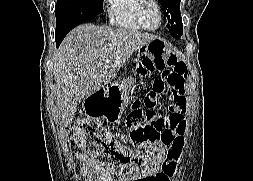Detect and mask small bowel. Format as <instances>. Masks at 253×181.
I'll use <instances>...</instances> for the list:
<instances>
[{
    "label": "small bowel",
    "mask_w": 253,
    "mask_h": 181,
    "mask_svg": "<svg viewBox=\"0 0 253 181\" xmlns=\"http://www.w3.org/2000/svg\"><path fill=\"white\" fill-rule=\"evenodd\" d=\"M157 61L153 60V57H146L141 62L140 68L148 71H160L157 67ZM186 102L184 104V108ZM181 118L179 122L180 130L175 131L176 142L174 146L173 155L170 159L162 165H157L145 170L138 175H125L115 177L103 169H101L90 157L83 153H78L77 158L82 162V174L85 181H169L170 175L176 169V161L178 158V151L184 146V133L186 128V121L183 111L178 114ZM154 177V178H153Z\"/></svg>",
    "instance_id": "c3829d8e"
}]
</instances>
